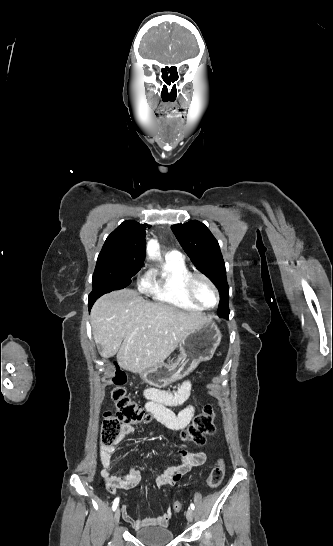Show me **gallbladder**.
<instances>
[{"label":"gallbladder","instance_id":"1","mask_svg":"<svg viewBox=\"0 0 333 546\" xmlns=\"http://www.w3.org/2000/svg\"><path fill=\"white\" fill-rule=\"evenodd\" d=\"M98 350H99L100 352L102 351L101 345H98Z\"/></svg>","mask_w":333,"mask_h":546}]
</instances>
